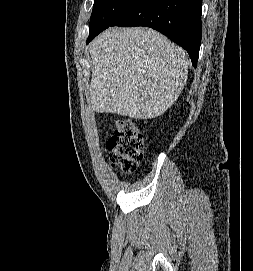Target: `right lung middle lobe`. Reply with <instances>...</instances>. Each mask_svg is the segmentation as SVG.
<instances>
[{"label": "right lung middle lobe", "mask_w": 253, "mask_h": 271, "mask_svg": "<svg viewBox=\"0 0 253 271\" xmlns=\"http://www.w3.org/2000/svg\"><path fill=\"white\" fill-rule=\"evenodd\" d=\"M133 0H94L89 35L101 32L126 9Z\"/></svg>", "instance_id": "dd1d6c3e"}]
</instances>
